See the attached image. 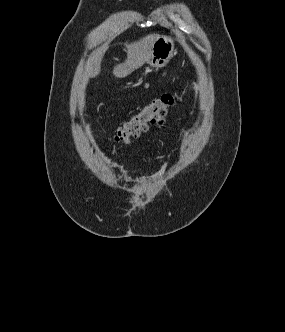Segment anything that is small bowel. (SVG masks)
Segmentation results:
<instances>
[{
	"instance_id": "small-bowel-1",
	"label": "small bowel",
	"mask_w": 285,
	"mask_h": 332,
	"mask_svg": "<svg viewBox=\"0 0 285 332\" xmlns=\"http://www.w3.org/2000/svg\"><path fill=\"white\" fill-rule=\"evenodd\" d=\"M151 122H166V115H151Z\"/></svg>"
}]
</instances>
